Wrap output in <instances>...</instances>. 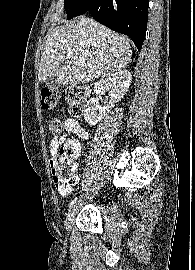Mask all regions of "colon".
<instances>
[{"instance_id": "1", "label": "colon", "mask_w": 195, "mask_h": 270, "mask_svg": "<svg viewBox=\"0 0 195 270\" xmlns=\"http://www.w3.org/2000/svg\"><path fill=\"white\" fill-rule=\"evenodd\" d=\"M89 91L85 86L76 85L65 89L64 98L68 104L69 113L72 116H80L83 113ZM41 106L51 112L56 109L60 101V94L57 91L43 89L40 94ZM51 134L60 136L64 132V124L60 119H52L48 123ZM80 145L76 140H67L58 149L55 158L52 160L53 182L57 191L64 195L76 185L78 178L75 174V160L80 155Z\"/></svg>"}]
</instances>
